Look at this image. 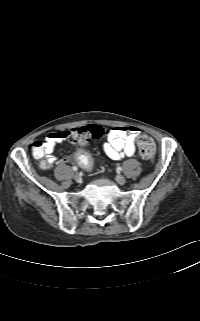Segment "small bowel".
I'll list each match as a JSON object with an SVG mask.
<instances>
[{
  "mask_svg": "<svg viewBox=\"0 0 200 321\" xmlns=\"http://www.w3.org/2000/svg\"><path fill=\"white\" fill-rule=\"evenodd\" d=\"M67 131L50 133L43 143V156L51 164H56V157L52 155L54 145L64 141ZM140 130L134 126H120L109 130L107 141L103 144L105 154L112 160H121L124 157H131L136 151V138ZM69 158H64L62 162H68Z\"/></svg>",
  "mask_w": 200,
  "mask_h": 321,
  "instance_id": "c3829d8e",
  "label": "small bowel"
}]
</instances>
